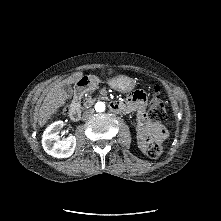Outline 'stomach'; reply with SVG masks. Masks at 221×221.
<instances>
[{"instance_id":"obj_1","label":"stomach","mask_w":221,"mask_h":221,"mask_svg":"<svg viewBox=\"0 0 221 221\" xmlns=\"http://www.w3.org/2000/svg\"><path fill=\"white\" fill-rule=\"evenodd\" d=\"M86 77V81L88 82L87 84H94L97 81V77L96 76H85ZM80 81H84V78H81L78 82ZM109 85L119 91L122 92H131L135 85L136 82L134 79L128 77V76H124V75H118L112 79L109 80Z\"/></svg>"}]
</instances>
